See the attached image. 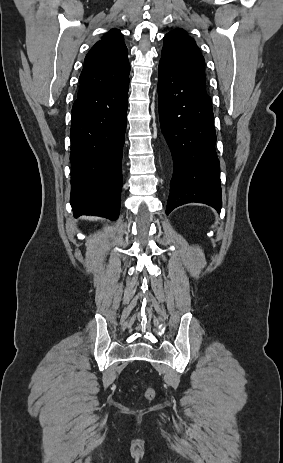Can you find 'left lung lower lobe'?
Returning <instances> with one entry per match:
<instances>
[{
	"label": "left lung lower lobe",
	"instance_id": "obj_1",
	"mask_svg": "<svg viewBox=\"0 0 283 463\" xmlns=\"http://www.w3.org/2000/svg\"><path fill=\"white\" fill-rule=\"evenodd\" d=\"M158 104L162 133L173 160L166 214L190 202L221 210L219 160L211 99L160 61Z\"/></svg>",
	"mask_w": 283,
	"mask_h": 463
}]
</instances>
